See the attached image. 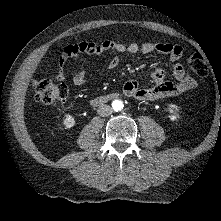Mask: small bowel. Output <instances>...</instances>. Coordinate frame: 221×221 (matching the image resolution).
Here are the masks:
<instances>
[{
	"mask_svg": "<svg viewBox=\"0 0 221 221\" xmlns=\"http://www.w3.org/2000/svg\"><path fill=\"white\" fill-rule=\"evenodd\" d=\"M123 53L128 52L131 54L142 53L149 54L151 52H158L167 54L170 60L174 62L173 76L175 81H168L165 79V74L162 68L156 64L151 65V78L153 79L155 86L147 89L140 88L139 83L136 80H130L124 84L125 93L139 101H154L163 99L166 97L176 96L183 92L194 89L197 86L196 80L188 73L182 64L178 62L183 53V48L177 44L170 43H152L145 42L138 44L133 42L127 46L116 41H102L100 43L83 41L78 44L69 45L64 48L60 62L64 63L69 55L79 56L80 54L87 55H101L105 52ZM119 57L114 55L109 63L108 68L114 69L119 64ZM57 78L59 80L64 79L62 71L59 72ZM87 73L85 70H80L73 76V83L76 86H82L86 83Z\"/></svg>",
	"mask_w": 221,
	"mask_h": 221,
	"instance_id": "obj_1",
	"label": "small bowel"
}]
</instances>
